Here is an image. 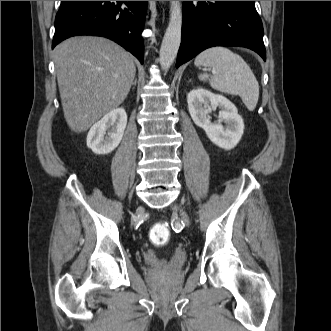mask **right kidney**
<instances>
[{
	"label": "right kidney",
	"mask_w": 331,
	"mask_h": 331,
	"mask_svg": "<svg viewBox=\"0 0 331 331\" xmlns=\"http://www.w3.org/2000/svg\"><path fill=\"white\" fill-rule=\"evenodd\" d=\"M127 124V114L123 108L107 113L88 132L87 146L95 154H108L118 147Z\"/></svg>",
	"instance_id": "right-kidney-1"
}]
</instances>
